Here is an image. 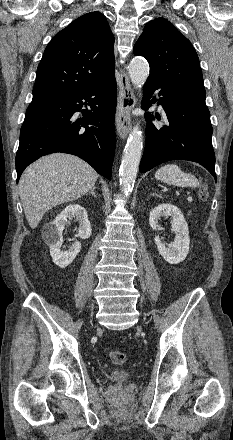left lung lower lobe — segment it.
<instances>
[{"instance_id":"obj_1","label":"left lung lower lobe","mask_w":233,"mask_h":440,"mask_svg":"<svg viewBox=\"0 0 233 440\" xmlns=\"http://www.w3.org/2000/svg\"><path fill=\"white\" fill-rule=\"evenodd\" d=\"M160 89L158 105L166 112L169 125L156 127L151 113L145 114L146 144L140 163L145 173L170 160H189L200 163L215 178V154L212 147L210 112L205 104L206 95L185 90L166 89L147 79L142 108L147 110L155 90ZM156 101V100H155Z\"/></svg>"}]
</instances>
